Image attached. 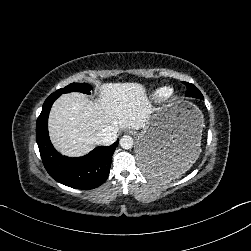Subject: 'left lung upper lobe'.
Masks as SVG:
<instances>
[{
    "mask_svg": "<svg viewBox=\"0 0 251 251\" xmlns=\"http://www.w3.org/2000/svg\"><path fill=\"white\" fill-rule=\"evenodd\" d=\"M183 83L187 87L186 96L195 97L201 100L204 99L202 93L193 84L187 83V82H183Z\"/></svg>",
    "mask_w": 251,
    "mask_h": 251,
    "instance_id": "obj_1",
    "label": "left lung upper lobe"
}]
</instances>
